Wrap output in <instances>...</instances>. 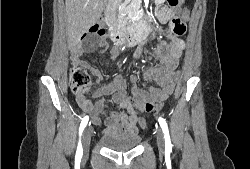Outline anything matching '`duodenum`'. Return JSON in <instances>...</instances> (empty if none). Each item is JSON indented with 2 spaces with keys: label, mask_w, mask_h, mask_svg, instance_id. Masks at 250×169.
Listing matches in <instances>:
<instances>
[{
  "label": "duodenum",
  "mask_w": 250,
  "mask_h": 169,
  "mask_svg": "<svg viewBox=\"0 0 250 169\" xmlns=\"http://www.w3.org/2000/svg\"><path fill=\"white\" fill-rule=\"evenodd\" d=\"M108 22L112 27L111 18L108 19ZM109 37L116 45H122L128 42H144L148 38V31L145 25H141V23L136 20L128 31H109Z\"/></svg>",
  "instance_id": "duodenum-1"
}]
</instances>
